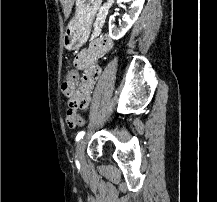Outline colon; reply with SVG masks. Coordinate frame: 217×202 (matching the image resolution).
<instances>
[{"instance_id":"1","label":"colon","mask_w":217,"mask_h":202,"mask_svg":"<svg viewBox=\"0 0 217 202\" xmlns=\"http://www.w3.org/2000/svg\"><path fill=\"white\" fill-rule=\"evenodd\" d=\"M93 72L95 73V70L93 69ZM80 74L78 72L70 71L63 83L62 86V92L64 96L67 98L68 102V107L70 109H77L79 108V103L80 102H88L89 96H82L84 95V90H77V88H83V87H77V82L78 79H80ZM71 113L70 112L67 115V124L71 127L70 124V118H71ZM78 114V113H77ZM85 124L84 118H78L77 117V127L83 126Z\"/></svg>"}]
</instances>
